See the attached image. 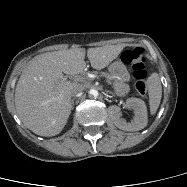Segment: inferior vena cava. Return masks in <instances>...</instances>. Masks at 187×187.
Instances as JSON below:
<instances>
[{"mask_svg":"<svg viewBox=\"0 0 187 187\" xmlns=\"http://www.w3.org/2000/svg\"><path fill=\"white\" fill-rule=\"evenodd\" d=\"M83 90H84V86L82 84H75L71 90V96H76Z\"/></svg>","mask_w":187,"mask_h":187,"instance_id":"obj_1","label":"inferior vena cava"}]
</instances>
